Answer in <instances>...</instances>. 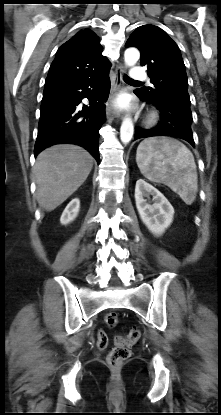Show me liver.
I'll list each match as a JSON object with an SVG mask.
<instances>
[{"instance_id":"liver-1","label":"liver","mask_w":221,"mask_h":415,"mask_svg":"<svg viewBox=\"0 0 221 415\" xmlns=\"http://www.w3.org/2000/svg\"><path fill=\"white\" fill-rule=\"evenodd\" d=\"M92 167L93 157L76 145L59 144L42 151L33 171L39 206L56 209L85 182Z\"/></svg>"}]
</instances>
